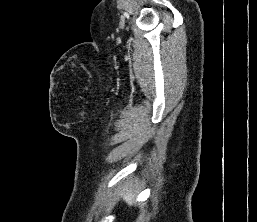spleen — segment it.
<instances>
[{
  "label": "spleen",
  "instance_id": "3e777b00",
  "mask_svg": "<svg viewBox=\"0 0 257 222\" xmlns=\"http://www.w3.org/2000/svg\"><path fill=\"white\" fill-rule=\"evenodd\" d=\"M126 193L123 195L124 196V199L125 201L128 203V204H131V201L132 199L134 198V195L132 194V192L127 188L126 189Z\"/></svg>",
  "mask_w": 257,
  "mask_h": 222
}]
</instances>
